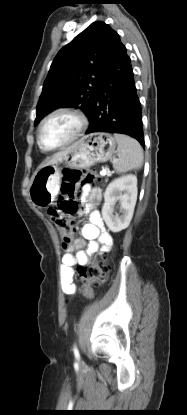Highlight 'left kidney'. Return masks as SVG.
Here are the masks:
<instances>
[{
    "instance_id": "5707ae66",
    "label": "left kidney",
    "mask_w": 187,
    "mask_h": 415,
    "mask_svg": "<svg viewBox=\"0 0 187 415\" xmlns=\"http://www.w3.org/2000/svg\"><path fill=\"white\" fill-rule=\"evenodd\" d=\"M137 192L135 175L116 178L107 186L104 193L105 203L102 207V217L112 232H120L129 226L137 201ZM117 201L120 204V215L114 214Z\"/></svg>"
}]
</instances>
